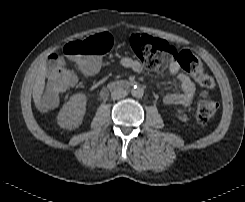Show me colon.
<instances>
[{
    "label": "colon",
    "mask_w": 245,
    "mask_h": 202,
    "mask_svg": "<svg viewBox=\"0 0 245 202\" xmlns=\"http://www.w3.org/2000/svg\"><path fill=\"white\" fill-rule=\"evenodd\" d=\"M113 43L114 39L110 34L102 33L84 41L68 42L63 45L60 52L51 56L47 75L48 90L44 99L57 101L70 90L73 73L68 64L87 72L89 63L86 57L104 54ZM128 43L132 55L146 68L162 72L170 63L178 62L183 70L196 77L203 88L207 90L214 88V80L203 72L202 61L190 51L179 49L166 40L138 33H132ZM218 109V103L209 94L203 95L196 107L197 120L200 123L211 121Z\"/></svg>",
    "instance_id": "obj_1"
}]
</instances>
